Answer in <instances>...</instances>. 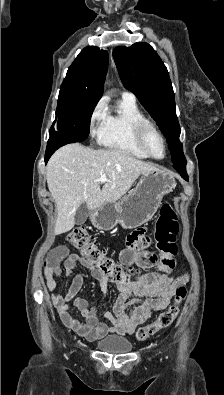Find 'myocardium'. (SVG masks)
<instances>
[{"label":"myocardium","mask_w":224,"mask_h":395,"mask_svg":"<svg viewBox=\"0 0 224 395\" xmlns=\"http://www.w3.org/2000/svg\"><path fill=\"white\" fill-rule=\"evenodd\" d=\"M149 132L155 133L162 141L164 147V155L162 157H156L151 153L147 145V134ZM134 139L137 145L147 154L148 157L156 160H161L166 156L167 153V142L164 135L158 129V127L150 120L143 119L135 123L133 127Z\"/></svg>","instance_id":"obj_1"}]
</instances>
